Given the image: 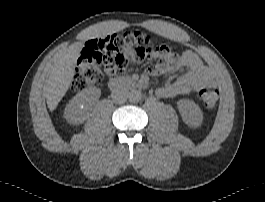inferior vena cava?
I'll use <instances>...</instances> for the list:
<instances>
[{"label": "inferior vena cava", "instance_id": "602c4592", "mask_svg": "<svg viewBox=\"0 0 265 202\" xmlns=\"http://www.w3.org/2000/svg\"><path fill=\"white\" fill-rule=\"evenodd\" d=\"M128 96L129 92L123 87L116 88L111 93L113 101L117 104L124 103L128 99Z\"/></svg>", "mask_w": 265, "mask_h": 202}]
</instances>
